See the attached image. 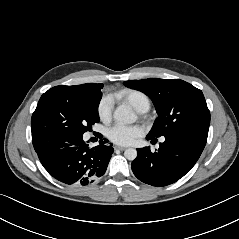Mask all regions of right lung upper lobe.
Listing matches in <instances>:
<instances>
[{
  "mask_svg": "<svg viewBox=\"0 0 239 239\" xmlns=\"http://www.w3.org/2000/svg\"><path fill=\"white\" fill-rule=\"evenodd\" d=\"M77 86L82 88L97 89V90H101L103 88V84H96V83H87V84L77 85Z\"/></svg>",
  "mask_w": 239,
  "mask_h": 239,
  "instance_id": "cb5924a9",
  "label": "right lung upper lobe"
}]
</instances>
